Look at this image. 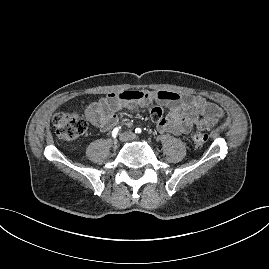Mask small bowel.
<instances>
[{
	"mask_svg": "<svg viewBox=\"0 0 269 269\" xmlns=\"http://www.w3.org/2000/svg\"><path fill=\"white\" fill-rule=\"evenodd\" d=\"M155 103H163L169 107L166 115L152 117L157 129L174 135L188 134L193 126L201 130H211L224 116L223 110L218 105L200 96H180L169 91L140 90L109 93L90 104L85 113L93 125L102 131H108L119 123L117 115L119 111L123 109L134 111Z\"/></svg>",
	"mask_w": 269,
	"mask_h": 269,
	"instance_id": "1",
	"label": "small bowel"
}]
</instances>
